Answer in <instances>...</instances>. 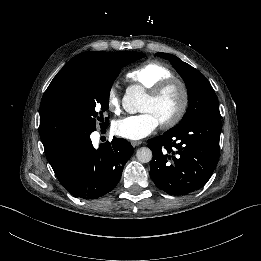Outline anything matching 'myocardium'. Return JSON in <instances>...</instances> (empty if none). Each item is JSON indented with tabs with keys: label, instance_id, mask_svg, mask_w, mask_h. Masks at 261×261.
<instances>
[{
	"label": "myocardium",
	"instance_id": "myocardium-1",
	"mask_svg": "<svg viewBox=\"0 0 261 261\" xmlns=\"http://www.w3.org/2000/svg\"><path fill=\"white\" fill-rule=\"evenodd\" d=\"M176 87L179 88L181 92V103L172 117L160 123V125L165 129L175 126L185 115L189 105V91L187 85L181 79L172 77L159 82L148 94V98L151 100H158L167 91Z\"/></svg>",
	"mask_w": 261,
	"mask_h": 261
}]
</instances>
